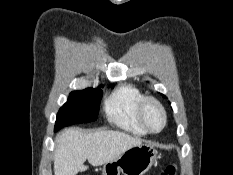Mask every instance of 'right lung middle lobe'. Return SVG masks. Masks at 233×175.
Returning <instances> with one entry per match:
<instances>
[{
    "label": "right lung middle lobe",
    "mask_w": 233,
    "mask_h": 175,
    "mask_svg": "<svg viewBox=\"0 0 233 175\" xmlns=\"http://www.w3.org/2000/svg\"><path fill=\"white\" fill-rule=\"evenodd\" d=\"M101 98L102 90L100 88H87L71 92L68 101L57 114L54 131L72 124L95 121L98 117Z\"/></svg>",
    "instance_id": "obj_1"
}]
</instances>
